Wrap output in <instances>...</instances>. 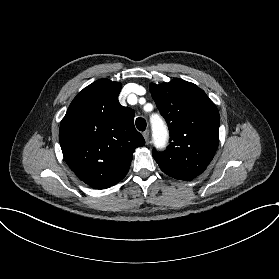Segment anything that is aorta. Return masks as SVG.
<instances>
[{
    "instance_id": "1",
    "label": "aorta",
    "mask_w": 279,
    "mask_h": 279,
    "mask_svg": "<svg viewBox=\"0 0 279 279\" xmlns=\"http://www.w3.org/2000/svg\"><path fill=\"white\" fill-rule=\"evenodd\" d=\"M154 134L158 136V139L164 141L165 130L162 122L158 118L152 120Z\"/></svg>"
}]
</instances>
